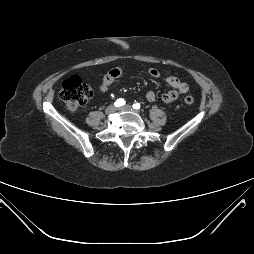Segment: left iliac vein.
Segmentation results:
<instances>
[{"label": "left iliac vein", "mask_w": 254, "mask_h": 254, "mask_svg": "<svg viewBox=\"0 0 254 254\" xmlns=\"http://www.w3.org/2000/svg\"><path fill=\"white\" fill-rule=\"evenodd\" d=\"M120 109H121V110H128V111L133 110V108H132L131 105H125V106L121 107Z\"/></svg>", "instance_id": "left-iliac-vein-1"}]
</instances>
